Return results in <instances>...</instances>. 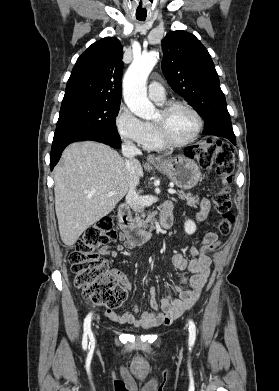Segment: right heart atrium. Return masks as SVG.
Returning <instances> with one entry per match:
<instances>
[{"label":"right heart atrium","instance_id":"right-heart-atrium-1","mask_svg":"<svg viewBox=\"0 0 279 391\" xmlns=\"http://www.w3.org/2000/svg\"><path fill=\"white\" fill-rule=\"evenodd\" d=\"M115 127L121 139L143 144L147 138L146 123L139 119L126 105H121L115 116Z\"/></svg>","mask_w":279,"mask_h":391}]
</instances>
